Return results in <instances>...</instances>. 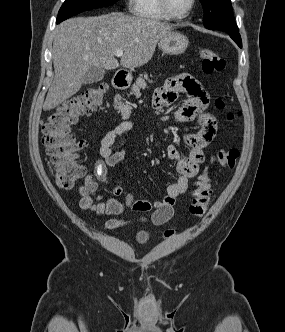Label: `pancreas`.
Returning <instances> with one entry per match:
<instances>
[{"instance_id":"1","label":"pancreas","mask_w":285,"mask_h":332,"mask_svg":"<svg viewBox=\"0 0 285 332\" xmlns=\"http://www.w3.org/2000/svg\"><path fill=\"white\" fill-rule=\"evenodd\" d=\"M146 80H149L148 79V76L147 74H144V75H141L137 80L136 82L132 85L131 87V90L132 92L137 96V97H140V91L141 89H145L147 84H146ZM121 101V97L120 96H117L116 98V101L115 103L118 104V109L121 111L122 115L123 116H129L130 113H131V106L129 103H122L120 102Z\"/></svg>"}]
</instances>
